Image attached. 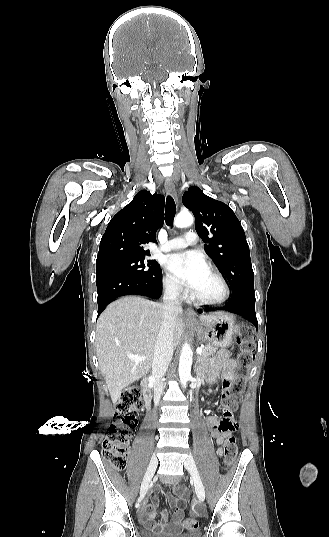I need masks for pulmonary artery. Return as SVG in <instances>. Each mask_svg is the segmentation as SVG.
<instances>
[{
	"label": "pulmonary artery",
	"mask_w": 329,
	"mask_h": 537,
	"mask_svg": "<svg viewBox=\"0 0 329 537\" xmlns=\"http://www.w3.org/2000/svg\"><path fill=\"white\" fill-rule=\"evenodd\" d=\"M197 243V235L193 231H188L183 237L173 238L168 241L160 251H173L186 248L187 246H193Z\"/></svg>",
	"instance_id": "obj_1"
}]
</instances>
